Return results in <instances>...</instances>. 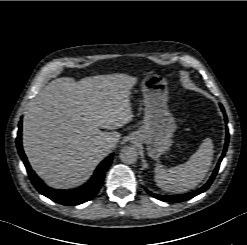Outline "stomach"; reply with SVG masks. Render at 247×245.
<instances>
[{"instance_id": "1", "label": "stomach", "mask_w": 247, "mask_h": 245, "mask_svg": "<svg viewBox=\"0 0 247 245\" xmlns=\"http://www.w3.org/2000/svg\"><path fill=\"white\" fill-rule=\"evenodd\" d=\"M144 102L142 127L135 132L133 142L145 144L150 157L157 158L167 151L177 129L174 117L168 109V83L164 76L149 73L141 82Z\"/></svg>"}]
</instances>
